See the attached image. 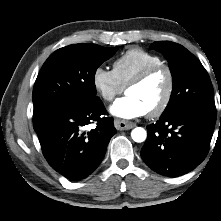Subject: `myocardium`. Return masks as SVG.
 Listing matches in <instances>:
<instances>
[{"label": "myocardium", "mask_w": 221, "mask_h": 221, "mask_svg": "<svg viewBox=\"0 0 221 221\" xmlns=\"http://www.w3.org/2000/svg\"><path fill=\"white\" fill-rule=\"evenodd\" d=\"M159 71H164L167 75V88L165 90L164 96L160 103L150 111H148V115L151 117L160 116L169 106L170 101L172 99V95L175 87V78L172 69L166 64H156L149 66L138 73L134 78H132L129 83L126 85V91L134 86L140 85L145 82L148 78H150L153 74Z\"/></svg>", "instance_id": "1"}]
</instances>
